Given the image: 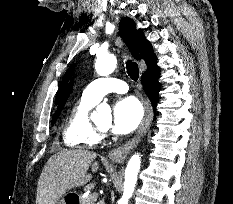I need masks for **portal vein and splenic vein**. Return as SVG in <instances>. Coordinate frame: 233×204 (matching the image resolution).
<instances>
[{
	"instance_id": "portal-vein-and-splenic-vein-1",
	"label": "portal vein and splenic vein",
	"mask_w": 233,
	"mask_h": 204,
	"mask_svg": "<svg viewBox=\"0 0 233 204\" xmlns=\"http://www.w3.org/2000/svg\"><path fill=\"white\" fill-rule=\"evenodd\" d=\"M93 194H94L96 197L98 196V193H96V192H95V193H93Z\"/></svg>"
}]
</instances>
